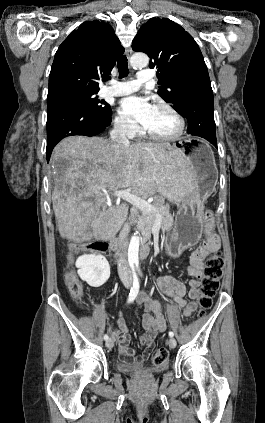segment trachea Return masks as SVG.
I'll return each mask as SVG.
<instances>
[{
  "mask_svg": "<svg viewBox=\"0 0 265 423\" xmlns=\"http://www.w3.org/2000/svg\"><path fill=\"white\" fill-rule=\"evenodd\" d=\"M118 72H119V77L123 78L126 77L128 75V62H127V57L125 55L121 56L118 60ZM110 77H106L105 81L109 80Z\"/></svg>",
  "mask_w": 265,
  "mask_h": 423,
  "instance_id": "3493384b",
  "label": "trachea"
}]
</instances>
